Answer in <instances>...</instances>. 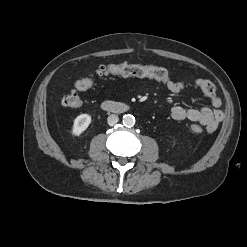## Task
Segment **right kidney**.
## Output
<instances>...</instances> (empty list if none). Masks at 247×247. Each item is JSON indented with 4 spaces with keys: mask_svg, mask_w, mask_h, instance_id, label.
I'll return each instance as SVG.
<instances>
[{
    "mask_svg": "<svg viewBox=\"0 0 247 247\" xmlns=\"http://www.w3.org/2000/svg\"><path fill=\"white\" fill-rule=\"evenodd\" d=\"M91 116L88 114H81L74 120V125L72 128V134L75 136H80L90 125Z\"/></svg>",
    "mask_w": 247,
    "mask_h": 247,
    "instance_id": "obj_1",
    "label": "right kidney"
}]
</instances>
